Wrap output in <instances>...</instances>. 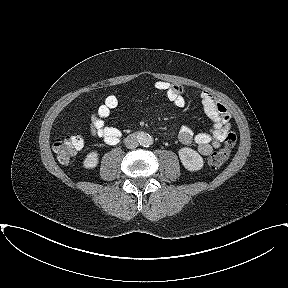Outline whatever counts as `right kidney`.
<instances>
[{
    "instance_id": "ca27d5eb",
    "label": "right kidney",
    "mask_w": 288,
    "mask_h": 288,
    "mask_svg": "<svg viewBox=\"0 0 288 288\" xmlns=\"http://www.w3.org/2000/svg\"><path fill=\"white\" fill-rule=\"evenodd\" d=\"M83 164H84V167H86V168H94V167H96L97 164H98V153L96 151L90 152L86 156Z\"/></svg>"
}]
</instances>
